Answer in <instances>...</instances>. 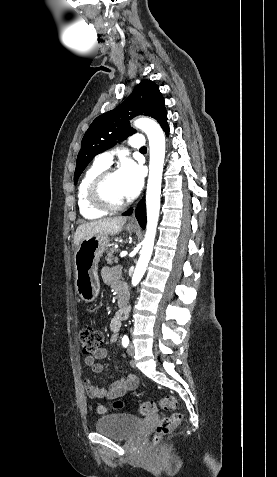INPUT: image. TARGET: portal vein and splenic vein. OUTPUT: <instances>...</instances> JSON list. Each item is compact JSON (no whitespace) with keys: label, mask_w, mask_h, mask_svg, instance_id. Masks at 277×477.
Instances as JSON below:
<instances>
[{"label":"portal vein and splenic vein","mask_w":277,"mask_h":477,"mask_svg":"<svg viewBox=\"0 0 277 477\" xmlns=\"http://www.w3.org/2000/svg\"><path fill=\"white\" fill-rule=\"evenodd\" d=\"M127 254H128L127 251H121V252H120V257H121V258L126 257Z\"/></svg>","instance_id":"1"}]
</instances>
